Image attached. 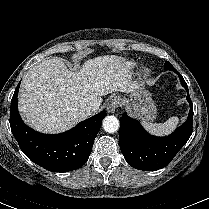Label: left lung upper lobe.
<instances>
[{"label":"left lung upper lobe","mask_w":209,"mask_h":209,"mask_svg":"<svg viewBox=\"0 0 209 209\" xmlns=\"http://www.w3.org/2000/svg\"><path fill=\"white\" fill-rule=\"evenodd\" d=\"M164 66L168 70H171V71H174L175 70V68L168 61L165 62V65Z\"/></svg>","instance_id":"obj_1"}]
</instances>
